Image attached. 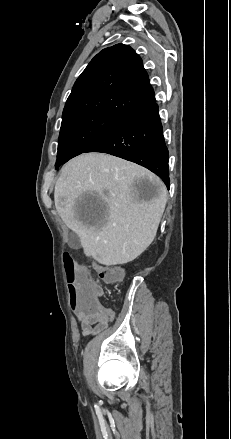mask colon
Wrapping results in <instances>:
<instances>
[{
    "mask_svg": "<svg viewBox=\"0 0 231 439\" xmlns=\"http://www.w3.org/2000/svg\"><path fill=\"white\" fill-rule=\"evenodd\" d=\"M66 280L70 294V313H84L85 320L103 319L105 313L99 301L100 287L94 282L90 273L77 268L72 256L66 253L63 257ZM100 279L105 283H115L121 280L123 273L120 269L105 265H97Z\"/></svg>",
    "mask_w": 231,
    "mask_h": 439,
    "instance_id": "5ec220e1",
    "label": "colon"
}]
</instances>
